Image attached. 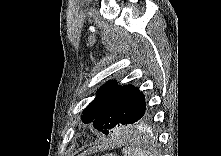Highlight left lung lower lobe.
<instances>
[{
    "label": "left lung lower lobe",
    "mask_w": 221,
    "mask_h": 156,
    "mask_svg": "<svg viewBox=\"0 0 221 156\" xmlns=\"http://www.w3.org/2000/svg\"><path fill=\"white\" fill-rule=\"evenodd\" d=\"M151 120V117L148 116L146 119L142 120L141 122H139L138 124H136L137 126H144L147 125Z\"/></svg>",
    "instance_id": "0a47b994"
}]
</instances>
